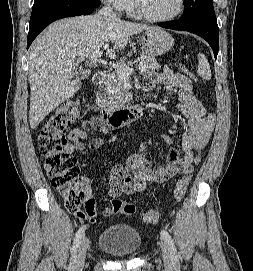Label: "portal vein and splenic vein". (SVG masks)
<instances>
[{
    "instance_id": "1",
    "label": "portal vein and splenic vein",
    "mask_w": 253,
    "mask_h": 271,
    "mask_svg": "<svg viewBox=\"0 0 253 271\" xmlns=\"http://www.w3.org/2000/svg\"><path fill=\"white\" fill-rule=\"evenodd\" d=\"M102 54H103V51H101V50H98V51L92 53L91 60L93 62L98 61L101 58ZM112 67H114L117 70V72L120 74V76L123 77V78L129 77L131 75V73L134 71L133 68L128 67V66H124V65H121V64L113 63ZM137 68L140 71H144L146 67H145L144 64L140 63Z\"/></svg>"
}]
</instances>
